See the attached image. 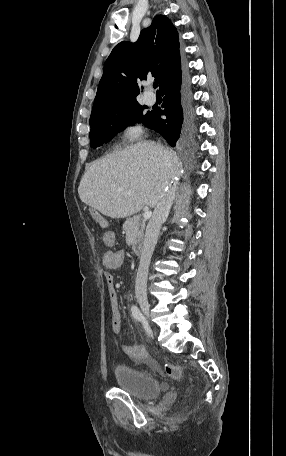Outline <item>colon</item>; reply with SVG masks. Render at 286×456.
<instances>
[{
    "mask_svg": "<svg viewBox=\"0 0 286 456\" xmlns=\"http://www.w3.org/2000/svg\"><path fill=\"white\" fill-rule=\"evenodd\" d=\"M136 357L139 361L144 362L147 364L151 369L153 370H158V364L156 363L155 360H153L151 357H149L146 353L145 350H139L136 352ZM164 372L174 378V379H179L181 376V368L179 366L173 365V364H165L164 365Z\"/></svg>",
    "mask_w": 286,
    "mask_h": 456,
    "instance_id": "1",
    "label": "colon"
}]
</instances>
